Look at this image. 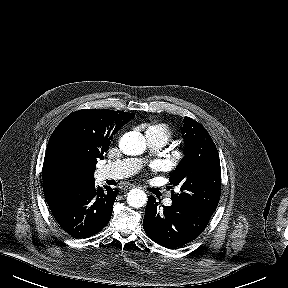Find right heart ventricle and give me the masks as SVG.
Wrapping results in <instances>:
<instances>
[{"mask_svg": "<svg viewBox=\"0 0 288 288\" xmlns=\"http://www.w3.org/2000/svg\"><path fill=\"white\" fill-rule=\"evenodd\" d=\"M146 132L159 134L162 137H164L166 141H168L173 136L174 133L173 129L168 124L165 123H157L150 125L147 128Z\"/></svg>", "mask_w": 288, "mask_h": 288, "instance_id": "1", "label": "right heart ventricle"}]
</instances>
